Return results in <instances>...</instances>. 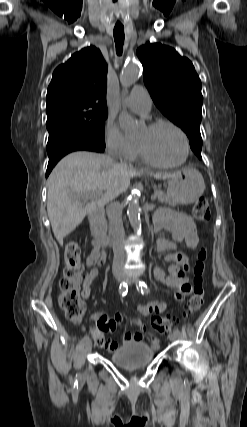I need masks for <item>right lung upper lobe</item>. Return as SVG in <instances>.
<instances>
[{
	"instance_id": "obj_1",
	"label": "right lung upper lobe",
	"mask_w": 247,
	"mask_h": 427,
	"mask_svg": "<svg viewBox=\"0 0 247 427\" xmlns=\"http://www.w3.org/2000/svg\"><path fill=\"white\" fill-rule=\"evenodd\" d=\"M106 83L107 65L100 50L82 49L54 70L46 96L47 114L65 107H107Z\"/></svg>"
}]
</instances>
